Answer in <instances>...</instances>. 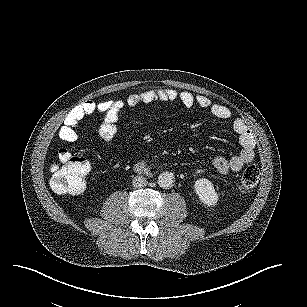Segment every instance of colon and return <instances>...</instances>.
<instances>
[{
    "mask_svg": "<svg viewBox=\"0 0 307 307\" xmlns=\"http://www.w3.org/2000/svg\"><path fill=\"white\" fill-rule=\"evenodd\" d=\"M59 163L52 169L51 187L57 194H79L87 184L89 166L81 156L72 153L67 149L59 151ZM259 169L250 165L243 171L239 190L248 192L252 190L259 179Z\"/></svg>",
    "mask_w": 307,
    "mask_h": 307,
    "instance_id": "5ec220e1",
    "label": "colon"
}]
</instances>
